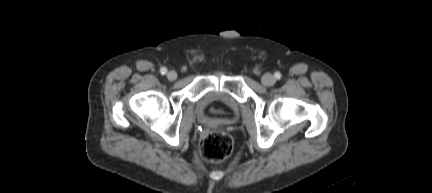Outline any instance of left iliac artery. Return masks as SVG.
I'll list each match as a JSON object with an SVG mask.
<instances>
[{
	"mask_svg": "<svg viewBox=\"0 0 432 193\" xmlns=\"http://www.w3.org/2000/svg\"><path fill=\"white\" fill-rule=\"evenodd\" d=\"M276 79H280L281 78V73L280 72H275L274 74Z\"/></svg>",
	"mask_w": 432,
	"mask_h": 193,
	"instance_id": "1",
	"label": "left iliac artery"
}]
</instances>
